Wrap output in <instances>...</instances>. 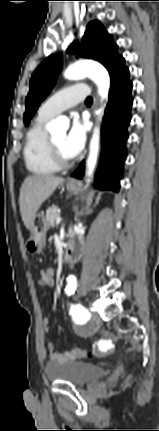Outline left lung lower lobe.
Here are the masks:
<instances>
[{"mask_svg":"<svg viewBox=\"0 0 159 431\" xmlns=\"http://www.w3.org/2000/svg\"><path fill=\"white\" fill-rule=\"evenodd\" d=\"M129 76V69L123 66L111 77L109 101L101 129L103 153L94 182V187L101 190L118 192L120 188L119 180L126 159L127 127L131 120L130 110L133 103ZM83 175L84 162L72 173V176L78 179Z\"/></svg>","mask_w":159,"mask_h":431,"instance_id":"0a47b994","label":"left lung lower lobe"}]
</instances>
